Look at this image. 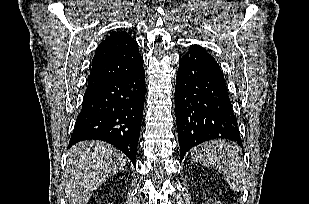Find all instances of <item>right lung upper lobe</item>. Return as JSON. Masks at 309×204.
Returning a JSON list of instances; mask_svg holds the SVG:
<instances>
[{
    "instance_id": "1",
    "label": "right lung upper lobe",
    "mask_w": 309,
    "mask_h": 204,
    "mask_svg": "<svg viewBox=\"0 0 309 204\" xmlns=\"http://www.w3.org/2000/svg\"><path fill=\"white\" fill-rule=\"evenodd\" d=\"M142 65L138 43L127 32H115L97 47L87 88L123 76Z\"/></svg>"
}]
</instances>
